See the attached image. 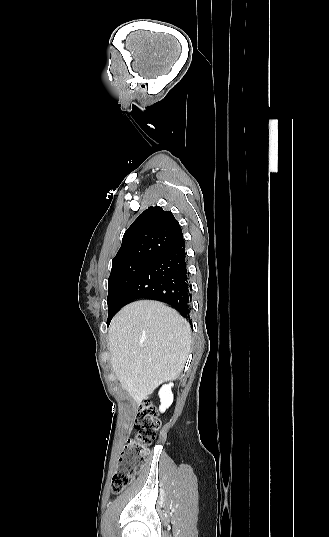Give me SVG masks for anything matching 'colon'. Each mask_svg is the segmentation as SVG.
Instances as JSON below:
<instances>
[{
  "mask_svg": "<svg viewBox=\"0 0 329 537\" xmlns=\"http://www.w3.org/2000/svg\"><path fill=\"white\" fill-rule=\"evenodd\" d=\"M161 426L155 406L148 400L143 401L134 421L135 434L127 440L112 476L111 490L114 494L121 493L136 478Z\"/></svg>",
  "mask_w": 329,
  "mask_h": 537,
  "instance_id": "obj_1",
  "label": "colon"
}]
</instances>
